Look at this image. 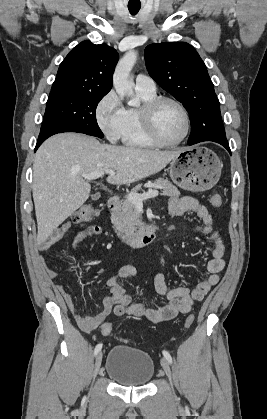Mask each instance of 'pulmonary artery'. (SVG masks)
Returning a JSON list of instances; mask_svg holds the SVG:
<instances>
[{
  "label": "pulmonary artery",
  "mask_w": 267,
  "mask_h": 419,
  "mask_svg": "<svg viewBox=\"0 0 267 419\" xmlns=\"http://www.w3.org/2000/svg\"><path fill=\"white\" fill-rule=\"evenodd\" d=\"M135 88L137 91L156 92L154 80L144 74H138L135 79Z\"/></svg>",
  "instance_id": "1"
}]
</instances>
